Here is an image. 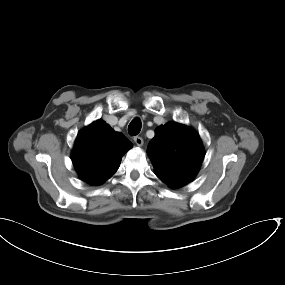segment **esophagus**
Here are the masks:
<instances>
[{"mask_svg":"<svg viewBox=\"0 0 285 285\" xmlns=\"http://www.w3.org/2000/svg\"><path fill=\"white\" fill-rule=\"evenodd\" d=\"M134 142L138 145V146H142L144 141L140 136H135L134 137Z\"/></svg>","mask_w":285,"mask_h":285,"instance_id":"esophagus-1","label":"esophagus"}]
</instances>
